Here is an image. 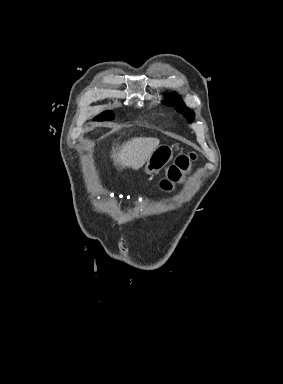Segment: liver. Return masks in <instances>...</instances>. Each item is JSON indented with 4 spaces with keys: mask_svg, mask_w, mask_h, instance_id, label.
I'll return each instance as SVG.
<instances>
[{
    "mask_svg": "<svg viewBox=\"0 0 283 384\" xmlns=\"http://www.w3.org/2000/svg\"><path fill=\"white\" fill-rule=\"evenodd\" d=\"M160 140L157 138H132L131 142H126L118 150H113L111 158L114 160L115 166H122V168H132V170H139L150 158L152 152L157 148Z\"/></svg>",
    "mask_w": 283,
    "mask_h": 384,
    "instance_id": "liver-1",
    "label": "liver"
}]
</instances>
